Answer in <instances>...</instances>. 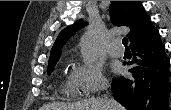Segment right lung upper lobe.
<instances>
[{"mask_svg":"<svg viewBox=\"0 0 171 110\" xmlns=\"http://www.w3.org/2000/svg\"><path fill=\"white\" fill-rule=\"evenodd\" d=\"M110 17L117 26H127L130 33L127 35L130 40V46L141 42L158 30L152 25L150 17L145 12L140 1H112L110 5ZM85 23L83 20L64 28L58 35L50 52V58L61 55V48Z\"/></svg>","mask_w":171,"mask_h":110,"instance_id":"obj_1","label":"right lung upper lobe"}]
</instances>
